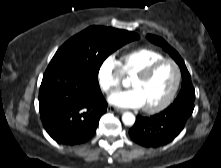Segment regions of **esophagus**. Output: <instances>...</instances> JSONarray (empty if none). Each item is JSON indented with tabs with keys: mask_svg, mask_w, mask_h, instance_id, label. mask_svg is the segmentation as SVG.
<instances>
[{
	"mask_svg": "<svg viewBox=\"0 0 221 168\" xmlns=\"http://www.w3.org/2000/svg\"><path fill=\"white\" fill-rule=\"evenodd\" d=\"M108 111H110V112H117V113L123 112V110H121L119 108H116V107H113V106H109L108 107Z\"/></svg>",
	"mask_w": 221,
	"mask_h": 168,
	"instance_id": "esophagus-1",
	"label": "esophagus"
}]
</instances>
